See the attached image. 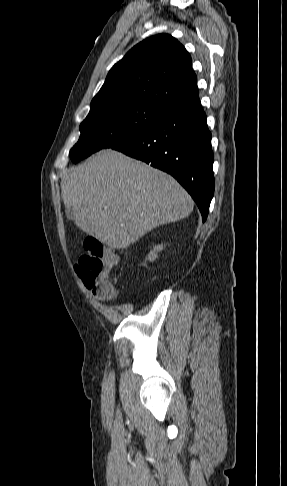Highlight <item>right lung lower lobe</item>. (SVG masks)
Returning a JSON list of instances; mask_svg holds the SVG:
<instances>
[{
  "label": "right lung lower lobe",
  "instance_id": "1",
  "mask_svg": "<svg viewBox=\"0 0 287 486\" xmlns=\"http://www.w3.org/2000/svg\"><path fill=\"white\" fill-rule=\"evenodd\" d=\"M112 149L175 177L192 196L205 222L214 194V156L199 96L169 109L142 133Z\"/></svg>",
  "mask_w": 287,
  "mask_h": 486
}]
</instances>
